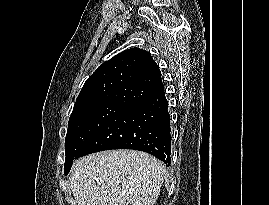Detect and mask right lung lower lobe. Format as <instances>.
Wrapping results in <instances>:
<instances>
[{"label": "right lung lower lobe", "instance_id": "obj_1", "mask_svg": "<svg viewBox=\"0 0 269 205\" xmlns=\"http://www.w3.org/2000/svg\"><path fill=\"white\" fill-rule=\"evenodd\" d=\"M171 129L164 91L128 106L104 125L77 158L111 149H135L171 163Z\"/></svg>", "mask_w": 269, "mask_h": 205}]
</instances>
